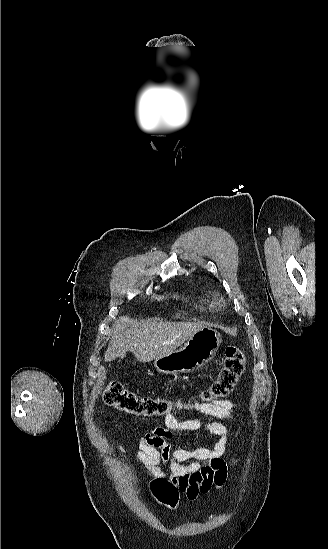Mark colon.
Returning a JSON list of instances; mask_svg holds the SVG:
<instances>
[{
  "label": "colon",
  "instance_id": "obj_1",
  "mask_svg": "<svg viewBox=\"0 0 328 549\" xmlns=\"http://www.w3.org/2000/svg\"><path fill=\"white\" fill-rule=\"evenodd\" d=\"M246 363L245 353L236 346H229L225 361L217 378L206 388L200 398L204 402L222 400L229 395L242 374ZM106 404L118 410L142 416H164L181 408V402L166 398L138 395L125 389L119 382H110L103 392ZM155 498L170 510H174L179 499V488L167 479H155L150 483Z\"/></svg>",
  "mask_w": 328,
  "mask_h": 549
}]
</instances>
